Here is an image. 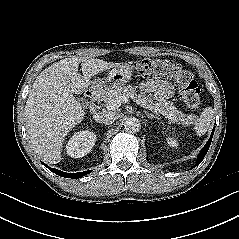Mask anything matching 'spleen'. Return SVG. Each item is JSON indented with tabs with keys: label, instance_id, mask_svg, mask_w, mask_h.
<instances>
[{
	"label": "spleen",
	"instance_id": "3e777b00",
	"mask_svg": "<svg viewBox=\"0 0 239 239\" xmlns=\"http://www.w3.org/2000/svg\"><path fill=\"white\" fill-rule=\"evenodd\" d=\"M213 120V109L207 107L201 113L198 122L196 123L195 130L198 136L204 135L210 127V124Z\"/></svg>",
	"mask_w": 239,
	"mask_h": 239
}]
</instances>
